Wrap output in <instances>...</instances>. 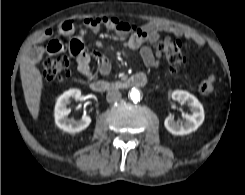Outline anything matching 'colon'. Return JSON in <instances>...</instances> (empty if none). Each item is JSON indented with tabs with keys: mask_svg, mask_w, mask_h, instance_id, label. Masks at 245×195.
Returning <instances> with one entry per match:
<instances>
[{
	"mask_svg": "<svg viewBox=\"0 0 245 195\" xmlns=\"http://www.w3.org/2000/svg\"><path fill=\"white\" fill-rule=\"evenodd\" d=\"M153 46L164 53L172 71L183 67L185 57L182 43L179 40L165 37L153 43ZM70 74L71 63L65 56L46 58L42 62V75L48 81L61 80Z\"/></svg>",
	"mask_w": 245,
	"mask_h": 195,
	"instance_id": "1",
	"label": "colon"
}]
</instances>
